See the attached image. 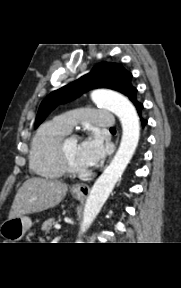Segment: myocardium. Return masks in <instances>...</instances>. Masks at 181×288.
<instances>
[{
    "mask_svg": "<svg viewBox=\"0 0 181 288\" xmlns=\"http://www.w3.org/2000/svg\"><path fill=\"white\" fill-rule=\"evenodd\" d=\"M71 139H76V135L74 134H67L64 136L58 145V158L59 162L64 170L65 173L73 176L83 175L85 173V170L76 169L67 158V155L65 153V144L67 141Z\"/></svg>",
    "mask_w": 181,
    "mask_h": 288,
    "instance_id": "f54148a6",
    "label": "myocardium"
}]
</instances>
